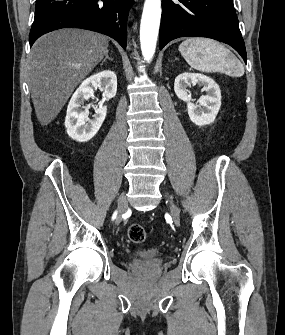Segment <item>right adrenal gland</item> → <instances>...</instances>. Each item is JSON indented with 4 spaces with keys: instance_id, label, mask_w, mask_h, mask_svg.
<instances>
[{
    "instance_id": "obj_1",
    "label": "right adrenal gland",
    "mask_w": 285,
    "mask_h": 335,
    "mask_svg": "<svg viewBox=\"0 0 285 335\" xmlns=\"http://www.w3.org/2000/svg\"><path fill=\"white\" fill-rule=\"evenodd\" d=\"M106 60H111V62H113V58H109V56H107V54H106V58H104L103 62H101V66H103V64H105Z\"/></svg>"
}]
</instances>
